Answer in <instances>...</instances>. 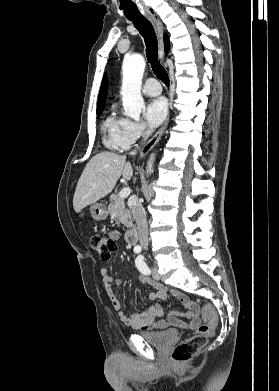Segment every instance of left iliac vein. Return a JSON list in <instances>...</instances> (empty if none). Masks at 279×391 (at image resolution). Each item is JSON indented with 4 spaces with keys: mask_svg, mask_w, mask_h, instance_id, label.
Wrapping results in <instances>:
<instances>
[{
    "mask_svg": "<svg viewBox=\"0 0 279 391\" xmlns=\"http://www.w3.org/2000/svg\"><path fill=\"white\" fill-rule=\"evenodd\" d=\"M152 276H153V278L155 280H159L160 279V275H159L156 267H152Z\"/></svg>",
    "mask_w": 279,
    "mask_h": 391,
    "instance_id": "left-iliac-vein-1",
    "label": "left iliac vein"
}]
</instances>
